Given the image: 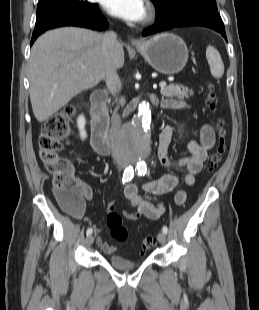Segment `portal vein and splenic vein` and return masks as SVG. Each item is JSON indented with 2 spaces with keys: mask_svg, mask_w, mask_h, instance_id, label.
Returning a JSON list of instances; mask_svg holds the SVG:
<instances>
[{
  "mask_svg": "<svg viewBox=\"0 0 259 310\" xmlns=\"http://www.w3.org/2000/svg\"><path fill=\"white\" fill-rule=\"evenodd\" d=\"M82 68H84V66H82ZM159 86L161 87V88H163V87H165L166 86V82H160L159 83Z\"/></svg>",
  "mask_w": 259,
  "mask_h": 310,
  "instance_id": "obj_1",
  "label": "portal vein and splenic vein"
}]
</instances>
